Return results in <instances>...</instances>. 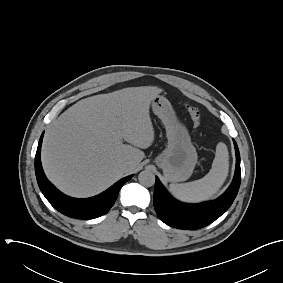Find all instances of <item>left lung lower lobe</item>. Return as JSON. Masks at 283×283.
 <instances>
[{"instance_id": "1", "label": "left lung lower lobe", "mask_w": 283, "mask_h": 283, "mask_svg": "<svg viewBox=\"0 0 283 283\" xmlns=\"http://www.w3.org/2000/svg\"><path fill=\"white\" fill-rule=\"evenodd\" d=\"M236 170L233 181L218 199L200 204H185L169 195L158 178L154 189V207L158 217L178 229H199L218 219L233 203L241 181L240 154L234 141Z\"/></svg>"}]
</instances>
